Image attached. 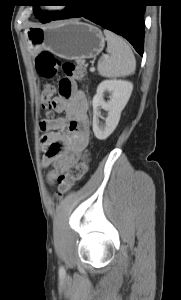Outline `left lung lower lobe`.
<instances>
[{
  "instance_id": "0a47b994",
  "label": "left lung lower lobe",
  "mask_w": 181,
  "mask_h": 300,
  "mask_svg": "<svg viewBox=\"0 0 181 300\" xmlns=\"http://www.w3.org/2000/svg\"><path fill=\"white\" fill-rule=\"evenodd\" d=\"M142 0H77L47 22L72 17H84L126 38L142 56L144 48V13Z\"/></svg>"
}]
</instances>
